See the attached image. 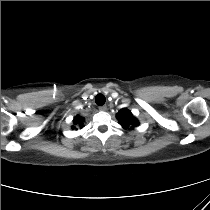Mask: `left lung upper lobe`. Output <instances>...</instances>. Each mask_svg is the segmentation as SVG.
<instances>
[{
	"instance_id": "left-lung-upper-lobe-1",
	"label": "left lung upper lobe",
	"mask_w": 210,
	"mask_h": 210,
	"mask_svg": "<svg viewBox=\"0 0 210 210\" xmlns=\"http://www.w3.org/2000/svg\"><path fill=\"white\" fill-rule=\"evenodd\" d=\"M117 119L125 129H133V127H136L139 124L138 120L132 115L131 111L127 109L120 110L117 114Z\"/></svg>"
}]
</instances>
